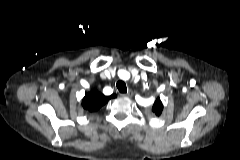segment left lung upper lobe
Returning <instances> with one entry per match:
<instances>
[{"instance_id": "left-lung-upper-lobe-1", "label": "left lung upper lobe", "mask_w": 240, "mask_h": 160, "mask_svg": "<svg viewBox=\"0 0 240 160\" xmlns=\"http://www.w3.org/2000/svg\"><path fill=\"white\" fill-rule=\"evenodd\" d=\"M162 110H163V105H162V102L161 100L158 98L154 105H153V108H152V111L157 115L159 116L161 113H162Z\"/></svg>"}]
</instances>
